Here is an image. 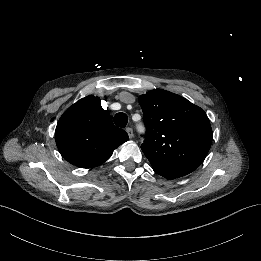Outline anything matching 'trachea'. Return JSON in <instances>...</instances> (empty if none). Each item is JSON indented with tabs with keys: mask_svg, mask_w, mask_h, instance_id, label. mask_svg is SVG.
<instances>
[{
	"mask_svg": "<svg viewBox=\"0 0 261 261\" xmlns=\"http://www.w3.org/2000/svg\"><path fill=\"white\" fill-rule=\"evenodd\" d=\"M114 123L118 127L124 128L128 123V117L125 113L119 112L114 116Z\"/></svg>",
	"mask_w": 261,
	"mask_h": 261,
	"instance_id": "3493384b",
	"label": "trachea"
}]
</instances>
